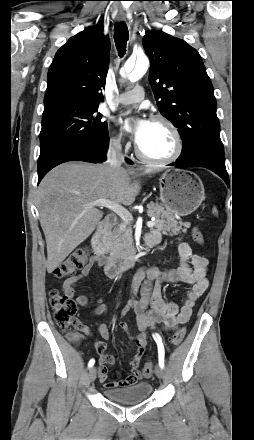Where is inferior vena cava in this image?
I'll return each mask as SVG.
<instances>
[{
  "mask_svg": "<svg viewBox=\"0 0 254 440\" xmlns=\"http://www.w3.org/2000/svg\"><path fill=\"white\" fill-rule=\"evenodd\" d=\"M124 162V156L122 154V147L120 139L114 140L110 143L107 151V163L113 169H120Z\"/></svg>",
  "mask_w": 254,
  "mask_h": 440,
  "instance_id": "1",
  "label": "inferior vena cava"
}]
</instances>
